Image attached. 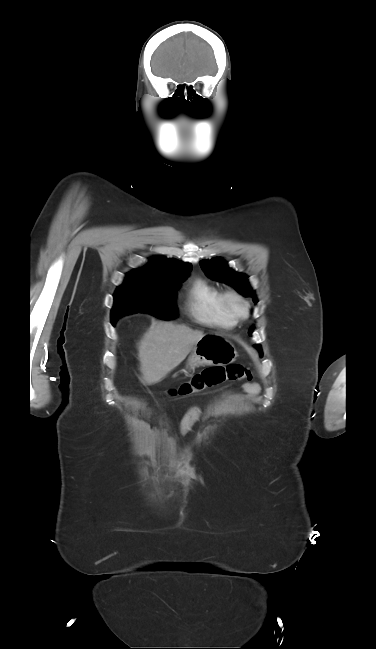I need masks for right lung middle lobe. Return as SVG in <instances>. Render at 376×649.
Here are the masks:
<instances>
[{
    "instance_id": "right-lung-middle-lobe-1",
    "label": "right lung middle lobe",
    "mask_w": 376,
    "mask_h": 649,
    "mask_svg": "<svg viewBox=\"0 0 376 649\" xmlns=\"http://www.w3.org/2000/svg\"><path fill=\"white\" fill-rule=\"evenodd\" d=\"M189 272L159 277L149 276L136 270L128 273L125 282L114 294L112 324L114 325L124 315L138 312L168 320L176 318V291Z\"/></svg>"
}]
</instances>
